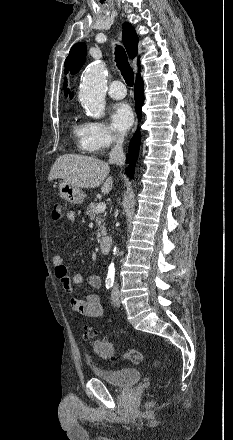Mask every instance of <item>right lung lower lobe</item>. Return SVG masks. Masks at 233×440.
I'll return each instance as SVG.
<instances>
[{"label": "right lung lower lobe", "mask_w": 233, "mask_h": 440, "mask_svg": "<svg viewBox=\"0 0 233 440\" xmlns=\"http://www.w3.org/2000/svg\"><path fill=\"white\" fill-rule=\"evenodd\" d=\"M135 101H136V111L138 117H141V107L144 101V90H143V81L140 75L137 76V80L135 83ZM140 146V133L137 131L134 137L131 140L129 146V155H127L126 163H129L128 167L125 169L126 174L133 178L135 162L138 157Z\"/></svg>", "instance_id": "obj_1"}]
</instances>
